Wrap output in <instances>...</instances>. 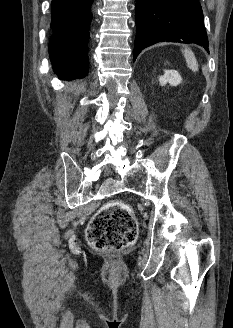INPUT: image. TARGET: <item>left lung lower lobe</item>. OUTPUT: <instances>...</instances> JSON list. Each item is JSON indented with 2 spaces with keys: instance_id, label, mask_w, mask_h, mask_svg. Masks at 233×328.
<instances>
[{
  "instance_id": "left-lung-lower-lobe-1",
  "label": "left lung lower lobe",
  "mask_w": 233,
  "mask_h": 328,
  "mask_svg": "<svg viewBox=\"0 0 233 328\" xmlns=\"http://www.w3.org/2000/svg\"><path fill=\"white\" fill-rule=\"evenodd\" d=\"M134 61L158 42L202 44L209 52L202 8L198 0H136Z\"/></svg>"
}]
</instances>
